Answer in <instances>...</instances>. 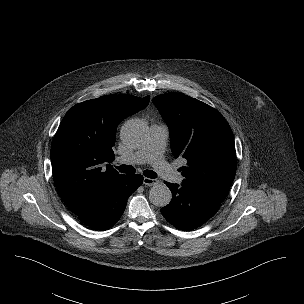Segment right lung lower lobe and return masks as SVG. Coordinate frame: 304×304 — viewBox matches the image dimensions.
Listing matches in <instances>:
<instances>
[{"label": "right lung lower lobe", "instance_id": "right-lung-lower-lobe-1", "mask_svg": "<svg viewBox=\"0 0 304 304\" xmlns=\"http://www.w3.org/2000/svg\"><path fill=\"white\" fill-rule=\"evenodd\" d=\"M143 182L142 175H120L108 183L101 195L78 218L98 230L112 227L122 216L128 197Z\"/></svg>", "mask_w": 304, "mask_h": 304}]
</instances>
